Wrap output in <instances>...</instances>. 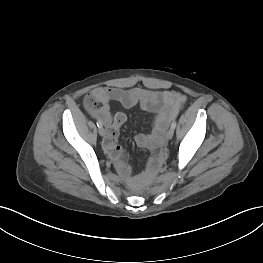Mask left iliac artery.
Listing matches in <instances>:
<instances>
[{
    "instance_id": "obj_1",
    "label": "left iliac artery",
    "mask_w": 263,
    "mask_h": 263,
    "mask_svg": "<svg viewBox=\"0 0 263 263\" xmlns=\"http://www.w3.org/2000/svg\"><path fill=\"white\" fill-rule=\"evenodd\" d=\"M176 125H177L176 121H173L171 124V128L175 129Z\"/></svg>"
}]
</instances>
